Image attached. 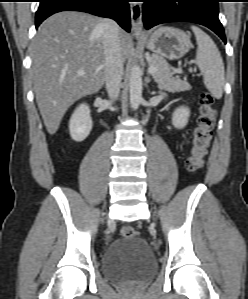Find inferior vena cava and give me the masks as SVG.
Here are the masks:
<instances>
[{"label":"inferior vena cava","instance_id":"inferior-vena-cava-1","mask_svg":"<svg viewBox=\"0 0 248 299\" xmlns=\"http://www.w3.org/2000/svg\"><path fill=\"white\" fill-rule=\"evenodd\" d=\"M99 27L103 32L106 89L111 101H114L119 95L123 77L119 26L111 19H103Z\"/></svg>","mask_w":248,"mask_h":299}]
</instances>
